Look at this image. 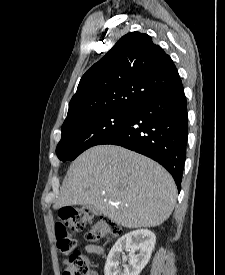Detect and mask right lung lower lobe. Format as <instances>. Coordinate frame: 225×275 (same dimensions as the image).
Instances as JSON below:
<instances>
[{
  "instance_id": "right-lung-lower-lobe-1",
  "label": "right lung lower lobe",
  "mask_w": 225,
  "mask_h": 275,
  "mask_svg": "<svg viewBox=\"0 0 225 275\" xmlns=\"http://www.w3.org/2000/svg\"><path fill=\"white\" fill-rule=\"evenodd\" d=\"M187 131V101L181 83L136 104L126 123L99 144L119 145L157 161L180 191Z\"/></svg>"
}]
</instances>
